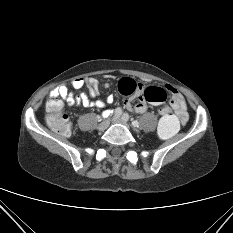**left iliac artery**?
Returning a JSON list of instances; mask_svg holds the SVG:
<instances>
[{
  "label": "left iliac artery",
  "instance_id": "obj_1",
  "mask_svg": "<svg viewBox=\"0 0 233 233\" xmlns=\"http://www.w3.org/2000/svg\"><path fill=\"white\" fill-rule=\"evenodd\" d=\"M122 119L125 120V121H128L129 120V114L124 113L123 116H122Z\"/></svg>",
  "mask_w": 233,
  "mask_h": 233
}]
</instances>
